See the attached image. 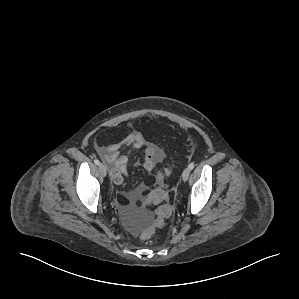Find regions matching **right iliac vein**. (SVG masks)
I'll return each instance as SVG.
<instances>
[{"label": "right iliac vein", "mask_w": 299, "mask_h": 299, "mask_svg": "<svg viewBox=\"0 0 299 299\" xmlns=\"http://www.w3.org/2000/svg\"><path fill=\"white\" fill-rule=\"evenodd\" d=\"M106 166L104 164H99V171L103 176H106Z\"/></svg>", "instance_id": "obj_1"}]
</instances>
